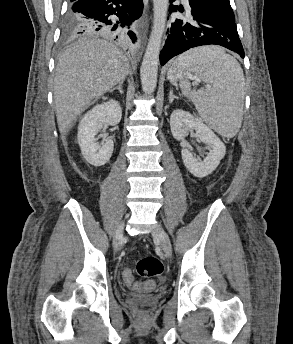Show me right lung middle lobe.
<instances>
[{"label": "right lung middle lobe", "instance_id": "obj_1", "mask_svg": "<svg viewBox=\"0 0 293 344\" xmlns=\"http://www.w3.org/2000/svg\"><path fill=\"white\" fill-rule=\"evenodd\" d=\"M86 21L87 20L80 14L71 12L69 10L65 19L62 38L64 40H68L81 34L80 30Z\"/></svg>", "mask_w": 293, "mask_h": 344}]
</instances>
